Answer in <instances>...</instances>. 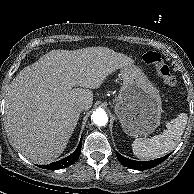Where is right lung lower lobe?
<instances>
[{"label": "right lung lower lobe", "mask_w": 194, "mask_h": 194, "mask_svg": "<svg viewBox=\"0 0 194 194\" xmlns=\"http://www.w3.org/2000/svg\"><path fill=\"white\" fill-rule=\"evenodd\" d=\"M81 147H82V137H81V140H80V143H79L77 149L71 155L67 156L66 158H64L60 161L53 162L49 165H41L39 167H41L43 169H48V170H57V169L66 168L77 161V159L80 156Z\"/></svg>", "instance_id": "obj_1"}]
</instances>
